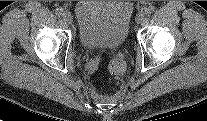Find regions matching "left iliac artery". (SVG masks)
<instances>
[{"label":"left iliac artery","mask_w":207,"mask_h":121,"mask_svg":"<svg viewBox=\"0 0 207 121\" xmlns=\"http://www.w3.org/2000/svg\"><path fill=\"white\" fill-rule=\"evenodd\" d=\"M153 11H154V7L151 6V5L146 6V7L143 9V12H144L146 15H150Z\"/></svg>","instance_id":"44dca946"}]
</instances>
